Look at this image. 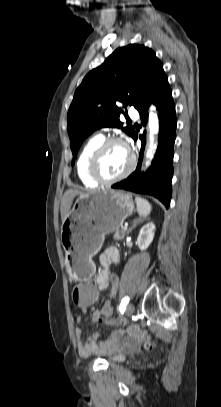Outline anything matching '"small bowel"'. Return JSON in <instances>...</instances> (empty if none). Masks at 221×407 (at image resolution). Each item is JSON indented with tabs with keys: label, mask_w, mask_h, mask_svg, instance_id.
Returning <instances> with one entry per match:
<instances>
[{
	"label": "small bowel",
	"mask_w": 221,
	"mask_h": 407,
	"mask_svg": "<svg viewBox=\"0 0 221 407\" xmlns=\"http://www.w3.org/2000/svg\"><path fill=\"white\" fill-rule=\"evenodd\" d=\"M119 262V252L116 247H108L105 249L99 257L100 269L98 270L96 277H95V285L98 295L99 293H106L109 298H113L117 293V285H118V276L115 273L110 271V267L112 265H117ZM82 283H90V282H82ZM96 301V300H95ZM104 305H110L109 302L105 303ZM91 313L94 314L93 316V323L99 324L100 318L95 317L101 313V309L99 305H92L91 306ZM86 312V311H83ZM111 319V318H110ZM109 319V320H110ZM107 321L109 324H111ZM77 321L80 322L81 318L78 317ZM98 333H93L91 336L88 337L87 340L83 339L82 330L81 328H76L75 330V338H76V345L78 352L81 356H89L91 354L97 353L101 350L112 351L116 349V340H111L106 343L103 347H101L98 343Z\"/></svg>",
	"instance_id": "small-bowel-1"
}]
</instances>
